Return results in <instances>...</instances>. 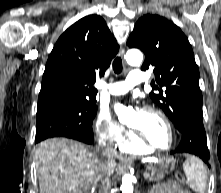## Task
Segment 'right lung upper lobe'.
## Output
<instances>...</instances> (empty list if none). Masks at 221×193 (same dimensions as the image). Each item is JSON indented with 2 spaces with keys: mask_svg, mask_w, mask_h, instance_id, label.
<instances>
[{
  "mask_svg": "<svg viewBox=\"0 0 221 193\" xmlns=\"http://www.w3.org/2000/svg\"><path fill=\"white\" fill-rule=\"evenodd\" d=\"M116 40L98 15L83 17L56 42L46 63L38 107L57 103L95 104L96 79L117 54Z\"/></svg>",
  "mask_w": 221,
  "mask_h": 193,
  "instance_id": "obj_1",
  "label": "right lung upper lobe"
}]
</instances>
